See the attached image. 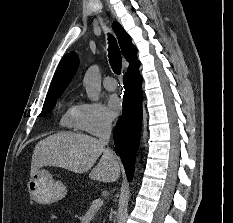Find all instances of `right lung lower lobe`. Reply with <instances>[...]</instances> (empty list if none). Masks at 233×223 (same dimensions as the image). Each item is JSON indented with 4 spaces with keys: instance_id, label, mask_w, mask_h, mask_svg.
<instances>
[{
    "instance_id": "obj_1",
    "label": "right lung lower lobe",
    "mask_w": 233,
    "mask_h": 223,
    "mask_svg": "<svg viewBox=\"0 0 233 223\" xmlns=\"http://www.w3.org/2000/svg\"><path fill=\"white\" fill-rule=\"evenodd\" d=\"M138 68L128 70L124 76L123 115L114 131L116 153L121 157L129 181L133 177L142 120L141 76Z\"/></svg>"
}]
</instances>
